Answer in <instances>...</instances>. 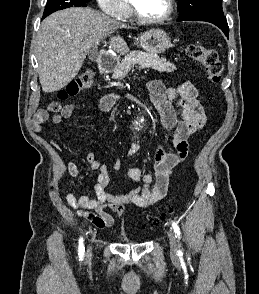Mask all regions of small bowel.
<instances>
[{"instance_id": "small-bowel-1", "label": "small bowel", "mask_w": 259, "mask_h": 294, "mask_svg": "<svg viewBox=\"0 0 259 294\" xmlns=\"http://www.w3.org/2000/svg\"><path fill=\"white\" fill-rule=\"evenodd\" d=\"M147 89L152 103L161 114L163 126L172 135V144L176 147V153H167L161 145L155 154L154 177L144 174L138 167L131 168L127 171V177L134 182H141L142 185L124 195H112L107 191L108 165L101 163L94 152H88L87 163L92 170H98L95 183L96 197L77 198L69 192L66 200L77 215L87 218L99 229L111 227L115 223V217L107 212V209L121 218L125 215V207L129 204L144 208L162 200L167 193L169 175L186 159L188 138L200 131L207 122L206 113L198 100L197 89L191 82L184 81L176 88H167L161 81L152 80L147 83ZM117 100L118 95L107 94L100 99L98 107L103 112H109ZM82 106L77 103H51L47 108L36 112L31 123L32 129L41 132L48 120L58 123L61 119L71 117ZM177 116L181 119L178 120ZM54 144L60 147L58 142L54 141ZM138 152L139 145L133 144L127 154L134 156ZM112 168L118 169L119 163L116 162ZM68 170L72 177L81 176V170L72 161L68 165Z\"/></svg>"}]
</instances>
